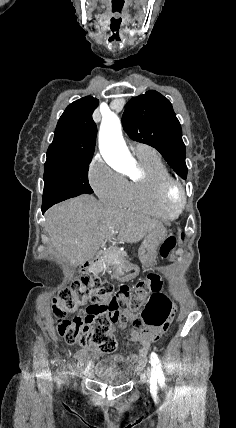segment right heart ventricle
Masks as SVG:
<instances>
[{
	"instance_id": "e07e8e85",
	"label": "right heart ventricle",
	"mask_w": 236,
	"mask_h": 428,
	"mask_svg": "<svg viewBox=\"0 0 236 428\" xmlns=\"http://www.w3.org/2000/svg\"><path fill=\"white\" fill-rule=\"evenodd\" d=\"M131 160L138 166L139 174L126 180V191L122 206L140 210L162 221H172L177 213L164 208L157 196V185L171 177L158 154L150 147L139 145Z\"/></svg>"
}]
</instances>
